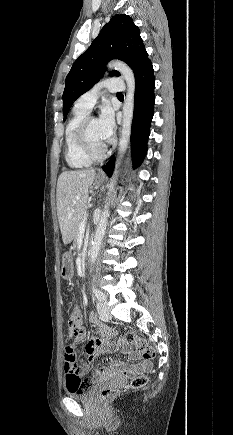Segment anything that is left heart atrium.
Masks as SVG:
<instances>
[{
  "label": "left heart atrium",
  "mask_w": 233,
  "mask_h": 435,
  "mask_svg": "<svg viewBox=\"0 0 233 435\" xmlns=\"http://www.w3.org/2000/svg\"><path fill=\"white\" fill-rule=\"evenodd\" d=\"M98 123L103 139L108 142L115 130L113 111L108 105L102 108Z\"/></svg>",
  "instance_id": "obj_1"
}]
</instances>
